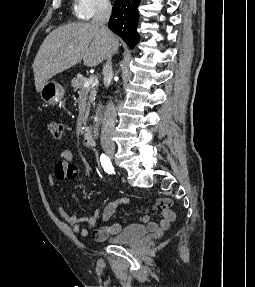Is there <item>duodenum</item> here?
<instances>
[{
  "label": "duodenum",
  "mask_w": 255,
  "mask_h": 287,
  "mask_svg": "<svg viewBox=\"0 0 255 287\" xmlns=\"http://www.w3.org/2000/svg\"><path fill=\"white\" fill-rule=\"evenodd\" d=\"M83 140L87 145H93L94 144L92 129L90 127H85L83 129Z\"/></svg>",
  "instance_id": "duodenum-1"
}]
</instances>
